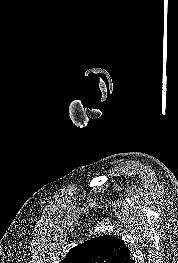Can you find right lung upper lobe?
<instances>
[{
  "label": "right lung upper lobe",
  "instance_id": "cb5924a9",
  "mask_svg": "<svg viewBox=\"0 0 178 263\" xmlns=\"http://www.w3.org/2000/svg\"><path fill=\"white\" fill-rule=\"evenodd\" d=\"M60 263H135V260L123 241L104 235L72 248Z\"/></svg>",
  "mask_w": 178,
  "mask_h": 263
}]
</instances>
